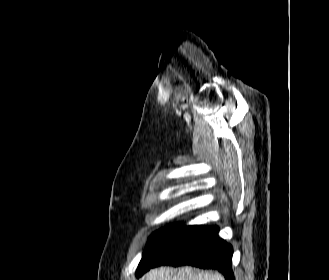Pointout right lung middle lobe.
Masks as SVG:
<instances>
[{
    "instance_id": "obj_1",
    "label": "right lung middle lobe",
    "mask_w": 329,
    "mask_h": 280,
    "mask_svg": "<svg viewBox=\"0 0 329 280\" xmlns=\"http://www.w3.org/2000/svg\"><path fill=\"white\" fill-rule=\"evenodd\" d=\"M186 227L183 224H173L166 229L155 232L148 240L142 260L137 268V276L144 274Z\"/></svg>"
}]
</instances>
